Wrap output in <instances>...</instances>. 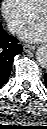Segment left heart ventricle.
I'll list each match as a JSON object with an SVG mask.
<instances>
[{
    "label": "left heart ventricle",
    "mask_w": 47,
    "mask_h": 129,
    "mask_svg": "<svg viewBox=\"0 0 47 129\" xmlns=\"http://www.w3.org/2000/svg\"><path fill=\"white\" fill-rule=\"evenodd\" d=\"M46 15L44 13L40 14L39 16H37L36 20L38 22H41L43 24H46Z\"/></svg>",
    "instance_id": "1"
}]
</instances>
